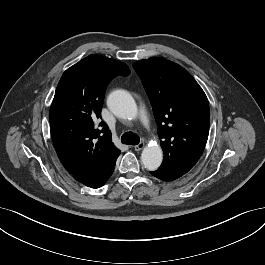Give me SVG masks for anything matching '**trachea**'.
Returning <instances> with one entry per match:
<instances>
[{
  "label": "trachea",
  "instance_id": "1",
  "mask_svg": "<svg viewBox=\"0 0 265 265\" xmlns=\"http://www.w3.org/2000/svg\"><path fill=\"white\" fill-rule=\"evenodd\" d=\"M121 142L128 145H137L140 142V138L137 134L132 132L124 133L121 136Z\"/></svg>",
  "mask_w": 265,
  "mask_h": 265
}]
</instances>
